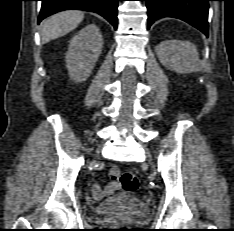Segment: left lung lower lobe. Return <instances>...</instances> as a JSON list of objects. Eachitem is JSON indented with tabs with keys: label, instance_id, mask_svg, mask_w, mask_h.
<instances>
[{
	"label": "left lung lower lobe",
	"instance_id": "0a47b994",
	"mask_svg": "<svg viewBox=\"0 0 234 231\" xmlns=\"http://www.w3.org/2000/svg\"><path fill=\"white\" fill-rule=\"evenodd\" d=\"M148 9V29L162 17L181 19L208 36V2L212 0H142Z\"/></svg>",
	"mask_w": 234,
	"mask_h": 231
}]
</instances>
